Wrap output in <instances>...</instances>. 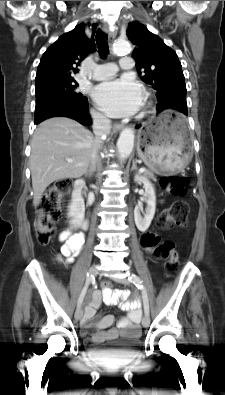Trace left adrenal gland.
Returning a JSON list of instances; mask_svg holds the SVG:
<instances>
[{"mask_svg": "<svg viewBox=\"0 0 225 395\" xmlns=\"http://www.w3.org/2000/svg\"><path fill=\"white\" fill-rule=\"evenodd\" d=\"M131 170H132V171H133V170H137V166H136V161H135V160H133V164H132Z\"/></svg>", "mask_w": 225, "mask_h": 395, "instance_id": "left-adrenal-gland-1", "label": "left adrenal gland"}]
</instances>
